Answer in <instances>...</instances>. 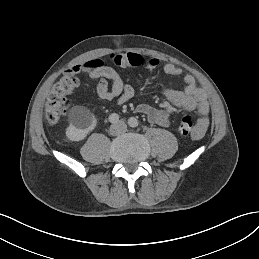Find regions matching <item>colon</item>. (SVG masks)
I'll return each instance as SVG.
<instances>
[{"mask_svg":"<svg viewBox=\"0 0 259 259\" xmlns=\"http://www.w3.org/2000/svg\"><path fill=\"white\" fill-rule=\"evenodd\" d=\"M79 85L78 79L72 74H65L53 85L45 104V117L48 124L59 123L70 106L69 96ZM178 129L181 134L189 135L193 133L195 126L189 116H183L179 121Z\"/></svg>","mask_w":259,"mask_h":259,"instance_id":"5ec220e1","label":"colon"}]
</instances>
